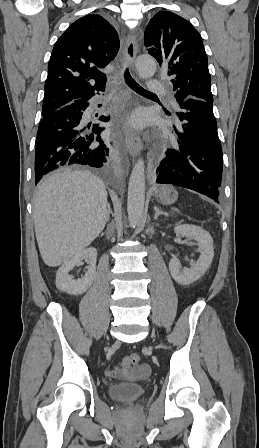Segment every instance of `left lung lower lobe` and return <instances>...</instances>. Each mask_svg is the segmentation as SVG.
<instances>
[{"label": "left lung lower lobe", "mask_w": 259, "mask_h": 448, "mask_svg": "<svg viewBox=\"0 0 259 448\" xmlns=\"http://www.w3.org/2000/svg\"><path fill=\"white\" fill-rule=\"evenodd\" d=\"M178 107V145L168 149L156 169V183L192 189L217 201L223 154L213 102L187 98Z\"/></svg>", "instance_id": "left-lung-lower-lobe-1"}]
</instances>
